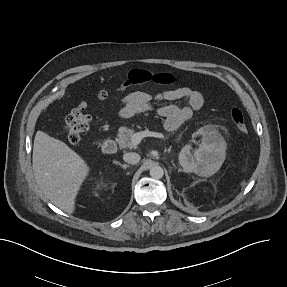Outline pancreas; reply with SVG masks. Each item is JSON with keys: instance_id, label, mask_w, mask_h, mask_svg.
<instances>
[{"instance_id": "pancreas-1", "label": "pancreas", "mask_w": 287, "mask_h": 287, "mask_svg": "<svg viewBox=\"0 0 287 287\" xmlns=\"http://www.w3.org/2000/svg\"><path fill=\"white\" fill-rule=\"evenodd\" d=\"M135 134L134 129H130L127 127H120L118 130V144L119 147L122 148H136L135 145L131 143V138Z\"/></svg>"}]
</instances>
